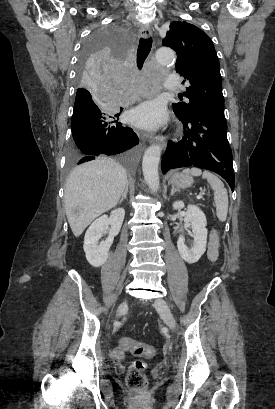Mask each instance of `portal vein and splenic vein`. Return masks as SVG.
I'll list each match as a JSON object with an SVG mask.
<instances>
[{
	"label": "portal vein and splenic vein",
	"instance_id": "obj_1",
	"mask_svg": "<svg viewBox=\"0 0 275 409\" xmlns=\"http://www.w3.org/2000/svg\"><path fill=\"white\" fill-rule=\"evenodd\" d=\"M202 194H204V192H202ZM197 198H201V194H198Z\"/></svg>",
	"mask_w": 275,
	"mask_h": 409
}]
</instances>
